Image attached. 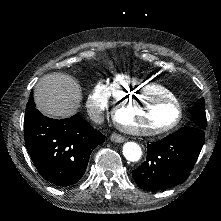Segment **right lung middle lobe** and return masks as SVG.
Returning a JSON list of instances; mask_svg holds the SVG:
<instances>
[{
    "instance_id": "1",
    "label": "right lung middle lobe",
    "mask_w": 221,
    "mask_h": 221,
    "mask_svg": "<svg viewBox=\"0 0 221 221\" xmlns=\"http://www.w3.org/2000/svg\"><path fill=\"white\" fill-rule=\"evenodd\" d=\"M31 106H35L32 95H31V98L29 99V101L27 103V107H31Z\"/></svg>"
}]
</instances>
